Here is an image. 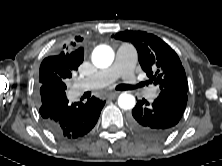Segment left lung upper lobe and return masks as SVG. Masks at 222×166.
<instances>
[{
	"instance_id": "obj_1",
	"label": "left lung upper lobe",
	"mask_w": 222,
	"mask_h": 166,
	"mask_svg": "<svg viewBox=\"0 0 222 166\" xmlns=\"http://www.w3.org/2000/svg\"><path fill=\"white\" fill-rule=\"evenodd\" d=\"M116 39L131 42L138 51L142 69L150 82L164 89L188 91L185 70L176 52L157 36L144 31L116 33Z\"/></svg>"
}]
</instances>
